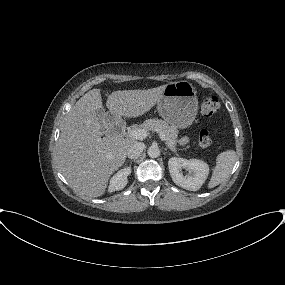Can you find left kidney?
<instances>
[{
    "mask_svg": "<svg viewBox=\"0 0 285 285\" xmlns=\"http://www.w3.org/2000/svg\"><path fill=\"white\" fill-rule=\"evenodd\" d=\"M169 172L173 182L190 191L201 188L209 174V165L198 159H184L172 157L168 161ZM182 169L189 171L190 175H184Z\"/></svg>",
    "mask_w": 285,
    "mask_h": 285,
    "instance_id": "1",
    "label": "left kidney"
}]
</instances>
